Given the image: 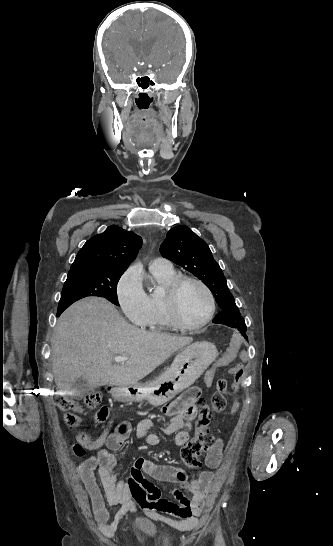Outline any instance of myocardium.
<instances>
[{
	"label": "myocardium",
	"mask_w": 333,
	"mask_h": 546,
	"mask_svg": "<svg viewBox=\"0 0 333 546\" xmlns=\"http://www.w3.org/2000/svg\"><path fill=\"white\" fill-rule=\"evenodd\" d=\"M186 283H195L205 292L209 302L207 314L203 320L197 324H188L180 316L177 307L178 294L181 287ZM162 305L165 315L169 322L177 329L182 331H197L204 328L213 319L216 311V300L212 290L201 279L193 276H180L166 289L162 297Z\"/></svg>",
	"instance_id": "myocardium-1"
}]
</instances>
